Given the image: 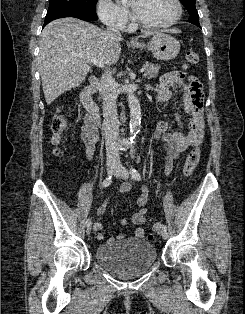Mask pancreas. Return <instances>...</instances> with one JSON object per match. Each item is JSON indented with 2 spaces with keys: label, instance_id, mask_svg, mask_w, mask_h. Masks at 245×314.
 <instances>
[{
  "label": "pancreas",
  "instance_id": "pancreas-1",
  "mask_svg": "<svg viewBox=\"0 0 245 314\" xmlns=\"http://www.w3.org/2000/svg\"><path fill=\"white\" fill-rule=\"evenodd\" d=\"M143 68L145 69L143 77L145 79H148V80L156 77L158 75V71L160 69V67L158 65L151 64V63H145L143 65Z\"/></svg>",
  "mask_w": 245,
  "mask_h": 314
}]
</instances>
